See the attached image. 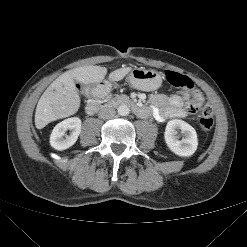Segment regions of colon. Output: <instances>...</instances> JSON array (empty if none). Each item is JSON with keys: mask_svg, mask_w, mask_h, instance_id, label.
I'll return each instance as SVG.
<instances>
[{"mask_svg": "<svg viewBox=\"0 0 247 247\" xmlns=\"http://www.w3.org/2000/svg\"><path fill=\"white\" fill-rule=\"evenodd\" d=\"M166 81L175 88L183 89L194 95L196 101L189 103L186 110L189 113H196L201 109L202 95L195 88L194 82L186 75L171 70L165 71ZM199 126L203 132H209L213 127V109L210 105L202 107Z\"/></svg>", "mask_w": 247, "mask_h": 247, "instance_id": "colon-1", "label": "colon"}]
</instances>
